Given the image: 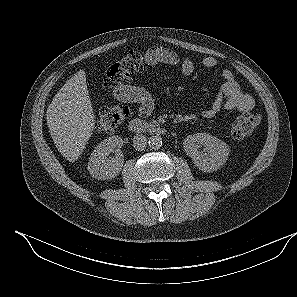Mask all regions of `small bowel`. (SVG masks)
I'll list each match as a JSON object with an SVG mask.
<instances>
[{
    "mask_svg": "<svg viewBox=\"0 0 297 297\" xmlns=\"http://www.w3.org/2000/svg\"><path fill=\"white\" fill-rule=\"evenodd\" d=\"M145 60L148 65H167L176 67L185 75H191L195 70L194 62L186 57H182L172 50L163 47H151L145 51ZM202 65L207 68H214L218 65V61L214 57H205ZM223 83L220 91L213 103L203 111V116L212 118L221 110H237L247 112L254 107V99L247 93H244L234 75L230 70L222 71ZM114 98L123 103L139 104V114L141 116H149L154 109V101L152 95L146 89L127 83L119 87L114 92Z\"/></svg>",
    "mask_w": 297,
    "mask_h": 297,
    "instance_id": "obj_1",
    "label": "small bowel"
}]
</instances>
